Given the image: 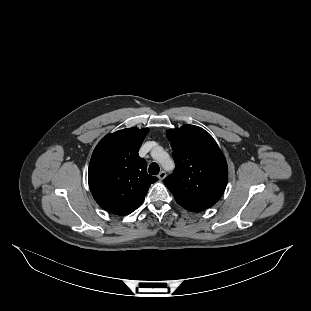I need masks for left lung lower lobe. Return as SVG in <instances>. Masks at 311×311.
Segmentation results:
<instances>
[{"instance_id": "left-lung-lower-lobe-1", "label": "left lung lower lobe", "mask_w": 311, "mask_h": 311, "mask_svg": "<svg viewBox=\"0 0 311 311\" xmlns=\"http://www.w3.org/2000/svg\"><path fill=\"white\" fill-rule=\"evenodd\" d=\"M186 209H188L190 211H202V210H198V209H195V208H186Z\"/></svg>"}]
</instances>
